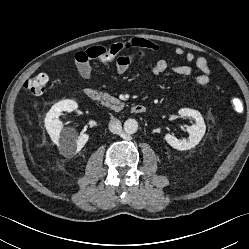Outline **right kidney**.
Returning a JSON list of instances; mask_svg holds the SVG:
<instances>
[{
  "label": "right kidney",
  "instance_id": "ca27d5eb",
  "mask_svg": "<svg viewBox=\"0 0 249 249\" xmlns=\"http://www.w3.org/2000/svg\"><path fill=\"white\" fill-rule=\"evenodd\" d=\"M78 105L74 100H62L52 106L45 117V127L52 141L58 146L60 153L65 157L76 155L87 143L89 135L80 133L76 138L75 131H62L63 124L59 120L61 112H72Z\"/></svg>",
  "mask_w": 249,
  "mask_h": 249
}]
</instances>
